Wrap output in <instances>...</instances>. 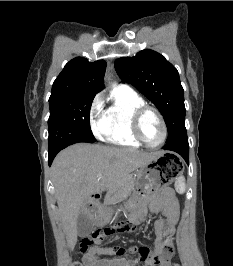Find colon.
<instances>
[{
    "label": "colon",
    "instance_id": "colon-1",
    "mask_svg": "<svg viewBox=\"0 0 233 266\" xmlns=\"http://www.w3.org/2000/svg\"><path fill=\"white\" fill-rule=\"evenodd\" d=\"M135 229L133 223H125L124 225H119L117 231L126 232ZM115 232L114 228H106L103 230H98L94 232L91 236L85 237L80 243V251L87 252L89 248L95 244H100L104 239ZM117 255H122L124 253L123 248H117L115 250ZM74 266H80L79 263H75ZM172 266H179L178 264H173Z\"/></svg>",
    "mask_w": 233,
    "mask_h": 266
}]
</instances>
